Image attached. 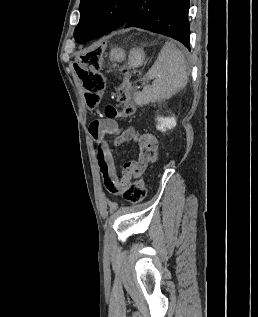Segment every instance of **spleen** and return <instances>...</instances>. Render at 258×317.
Listing matches in <instances>:
<instances>
[{
	"instance_id": "spleen-1",
	"label": "spleen",
	"mask_w": 258,
	"mask_h": 317,
	"mask_svg": "<svg viewBox=\"0 0 258 317\" xmlns=\"http://www.w3.org/2000/svg\"><path fill=\"white\" fill-rule=\"evenodd\" d=\"M188 62L183 50L173 40L165 42L157 60L149 68L145 78H153V84H146L142 92H134V102L139 106L171 98L187 84Z\"/></svg>"
}]
</instances>
